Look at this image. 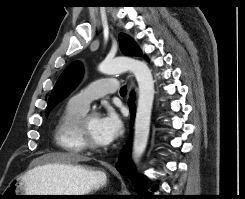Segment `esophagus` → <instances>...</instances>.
Instances as JSON below:
<instances>
[{"mask_svg": "<svg viewBox=\"0 0 245 199\" xmlns=\"http://www.w3.org/2000/svg\"><path fill=\"white\" fill-rule=\"evenodd\" d=\"M128 80H129V83H130V88H133L134 87V81H133V78L131 75H128Z\"/></svg>", "mask_w": 245, "mask_h": 199, "instance_id": "1", "label": "esophagus"}]
</instances>
